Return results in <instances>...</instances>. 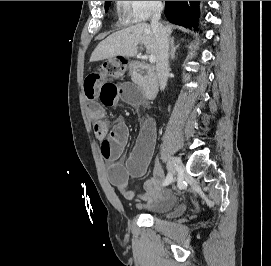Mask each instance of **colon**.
<instances>
[{
    "mask_svg": "<svg viewBox=\"0 0 271 266\" xmlns=\"http://www.w3.org/2000/svg\"><path fill=\"white\" fill-rule=\"evenodd\" d=\"M101 69L107 77H121L125 71V61L123 59H110L102 64Z\"/></svg>",
    "mask_w": 271,
    "mask_h": 266,
    "instance_id": "1",
    "label": "colon"
}]
</instances>
